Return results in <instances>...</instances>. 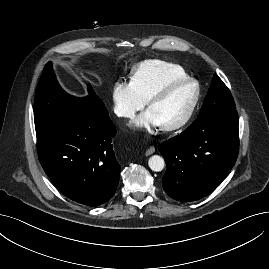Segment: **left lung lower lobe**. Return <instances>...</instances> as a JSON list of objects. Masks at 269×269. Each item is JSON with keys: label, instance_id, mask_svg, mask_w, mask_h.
Segmentation results:
<instances>
[{"label": "left lung lower lobe", "instance_id": "1", "mask_svg": "<svg viewBox=\"0 0 269 269\" xmlns=\"http://www.w3.org/2000/svg\"><path fill=\"white\" fill-rule=\"evenodd\" d=\"M238 123L236 110L201 116L160 145L167 164L163 189L171 198L195 201L223 181L238 156Z\"/></svg>", "mask_w": 269, "mask_h": 269}]
</instances>
